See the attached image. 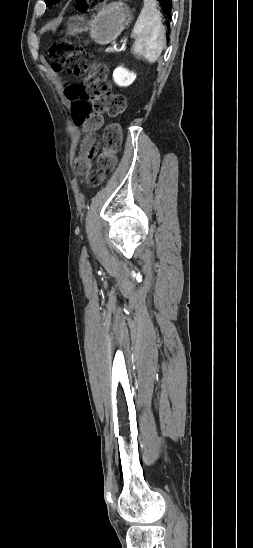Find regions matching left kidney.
<instances>
[{
  "label": "left kidney",
  "mask_w": 253,
  "mask_h": 548,
  "mask_svg": "<svg viewBox=\"0 0 253 548\" xmlns=\"http://www.w3.org/2000/svg\"><path fill=\"white\" fill-rule=\"evenodd\" d=\"M135 79L136 74L128 71L122 66L117 67L113 72V80L120 87L131 85Z\"/></svg>",
  "instance_id": "left-kidney-1"
}]
</instances>
